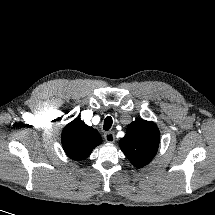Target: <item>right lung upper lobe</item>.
Instances as JSON below:
<instances>
[{"instance_id":"right-lung-upper-lobe-1","label":"right lung upper lobe","mask_w":215,"mask_h":215,"mask_svg":"<svg viewBox=\"0 0 215 215\" xmlns=\"http://www.w3.org/2000/svg\"><path fill=\"white\" fill-rule=\"evenodd\" d=\"M62 146L67 156L75 161L87 158L91 151L101 144L100 134L80 119L67 124L62 132Z\"/></svg>"}]
</instances>
